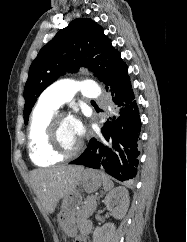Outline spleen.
I'll return each mask as SVG.
<instances>
[{
    "instance_id": "1",
    "label": "spleen",
    "mask_w": 187,
    "mask_h": 242,
    "mask_svg": "<svg viewBox=\"0 0 187 242\" xmlns=\"http://www.w3.org/2000/svg\"><path fill=\"white\" fill-rule=\"evenodd\" d=\"M102 180H103V188L105 191H110L113 187L114 184L112 182V180L110 179L109 176H107L106 174L102 173Z\"/></svg>"
}]
</instances>
